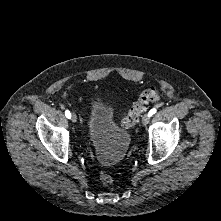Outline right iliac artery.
<instances>
[{
  "mask_svg": "<svg viewBox=\"0 0 221 221\" xmlns=\"http://www.w3.org/2000/svg\"><path fill=\"white\" fill-rule=\"evenodd\" d=\"M65 116H66V118H68V119L71 118V113H70L69 110H66V111H65Z\"/></svg>",
  "mask_w": 221,
  "mask_h": 221,
  "instance_id": "obj_1",
  "label": "right iliac artery"
}]
</instances>
